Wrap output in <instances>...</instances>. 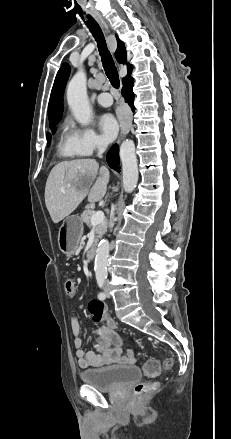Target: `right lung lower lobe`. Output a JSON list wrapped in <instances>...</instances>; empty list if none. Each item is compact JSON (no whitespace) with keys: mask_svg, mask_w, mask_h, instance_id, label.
<instances>
[{"mask_svg":"<svg viewBox=\"0 0 231 439\" xmlns=\"http://www.w3.org/2000/svg\"><path fill=\"white\" fill-rule=\"evenodd\" d=\"M133 88V79L131 77L123 80V88H122V95L125 98L126 102L131 106L132 110L134 111V93L132 91ZM107 162L108 165L116 170L120 171V161H119V148L118 145H113L111 149L107 153Z\"/></svg>","mask_w":231,"mask_h":439,"instance_id":"1","label":"right lung lower lobe"}]
</instances>
